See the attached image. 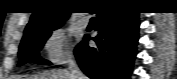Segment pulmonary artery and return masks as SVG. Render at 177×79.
<instances>
[{
	"label": "pulmonary artery",
	"instance_id": "1",
	"mask_svg": "<svg viewBox=\"0 0 177 79\" xmlns=\"http://www.w3.org/2000/svg\"><path fill=\"white\" fill-rule=\"evenodd\" d=\"M79 24L81 27H87L89 24V18L84 16L79 20Z\"/></svg>",
	"mask_w": 177,
	"mask_h": 79
}]
</instances>
